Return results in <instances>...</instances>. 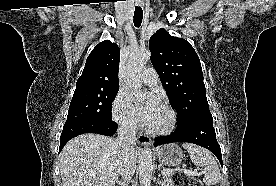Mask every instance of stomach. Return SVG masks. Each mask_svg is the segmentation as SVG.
<instances>
[{
    "instance_id": "1",
    "label": "stomach",
    "mask_w": 276,
    "mask_h": 186,
    "mask_svg": "<svg viewBox=\"0 0 276 186\" xmlns=\"http://www.w3.org/2000/svg\"><path fill=\"white\" fill-rule=\"evenodd\" d=\"M156 156L161 164L175 167L182 162L183 151L177 144L171 143L157 149Z\"/></svg>"
}]
</instances>
